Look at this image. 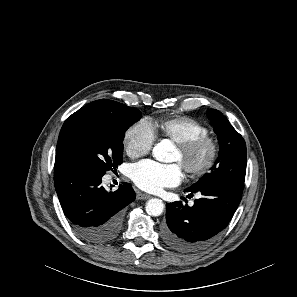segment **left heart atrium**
I'll return each mask as SVG.
<instances>
[{
  "label": "left heart atrium",
  "mask_w": 297,
  "mask_h": 297,
  "mask_svg": "<svg viewBox=\"0 0 297 297\" xmlns=\"http://www.w3.org/2000/svg\"><path fill=\"white\" fill-rule=\"evenodd\" d=\"M131 178L139 188L155 193L178 185L183 179V170L179 164L164 165L145 160L132 167Z\"/></svg>",
  "instance_id": "1"
}]
</instances>
